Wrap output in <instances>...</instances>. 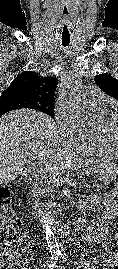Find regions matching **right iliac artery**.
<instances>
[{
	"label": "right iliac artery",
	"mask_w": 118,
	"mask_h": 269,
	"mask_svg": "<svg viewBox=\"0 0 118 269\" xmlns=\"http://www.w3.org/2000/svg\"><path fill=\"white\" fill-rule=\"evenodd\" d=\"M57 260H58V256L56 255L50 257V259L46 262L47 268L49 269L53 268L55 264L57 263Z\"/></svg>",
	"instance_id": "1"
}]
</instances>
